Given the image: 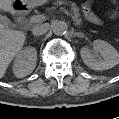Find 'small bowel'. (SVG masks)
<instances>
[{"instance_id": "small-bowel-1", "label": "small bowel", "mask_w": 119, "mask_h": 119, "mask_svg": "<svg viewBox=\"0 0 119 119\" xmlns=\"http://www.w3.org/2000/svg\"><path fill=\"white\" fill-rule=\"evenodd\" d=\"M83 14L86 17L87 20L93 22V23H101V19L93 12L91 8L90 3H85L83 5ZM109 17L113 18L116 15L115 11L108 12Z\"/></svg>"}]
</instances>
